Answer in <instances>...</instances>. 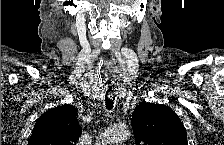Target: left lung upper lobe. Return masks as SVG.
I'll return each mask as SVG.
<instances>
[{
    "instance_id": "1",
    "label": "left lung upper lobe",
    "mask_w": 224,
    "mask_h": 145,
    "mask_svg": "<svg viewBox=\"0 0 224 145\" xmlns=\"http://www.w3.org/2000/svg\"><path fill=\"white\" fill-rule=\"evenodd\" d=\"M131 126L137 145H188L178 115L163 104L141 103L132 114Z\"/></svg>"
}]
</instances>
